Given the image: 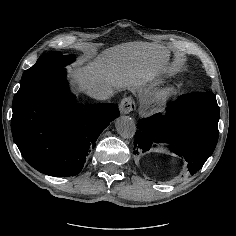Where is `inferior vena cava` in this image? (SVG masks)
Segmentation results:
<instances>
[{"instance_id":"inferior-vena-cava-1","label":"inferior vena cava","mask_w":236,"mask_h":236,"mask_svg":"<svg viewBox=\"0 0 236 236\" xmlns=\"http://www.w3.org/2000/svg\"><path fill=\"white\" fill-rule=\"evenodd\" d=\"M113 93V88L107 83H101L95 85L88 94L98 100H107L111 97Z\"/></svg>"}]
</instances>
